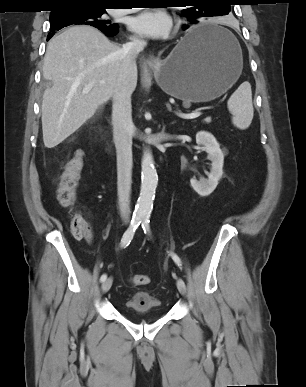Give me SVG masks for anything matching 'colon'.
Segmentation results:
<instances>
[{"instance_id":"5ec220e1","label":"colon","mask_w":306,"mask_h":387,"mask_svg":"<svg viewBox=\"0 0 306 387\" xmlns=\"http://www.w3.org/2000/svg\"><path fill=\"white\" fill-rule=\"evenodd\" d=\"M83 164V153L77 151L66 163L64 171L57 181V200L64 208H72L75 204L76 189ZM70 230L75 238H84L90 231L88 219L80 213H74L70 222ZM129 282L134 286H143L150 282V278L147 275L135 274L129 278Z\"/></svg>"}]
</instances>
